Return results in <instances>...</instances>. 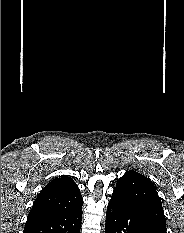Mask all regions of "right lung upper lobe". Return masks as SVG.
<instances>
[{
    "mask_svg": "<svg viewBox=\"0 0 184 233\" xmlns=\"http://www.w3.org/2000/svg\"><path fill=\"white\" fill-rule=\"evenodd\" d=\"M82 203L80 190L70 177L55 178L37 196L25 225L77 212Z\"/></svg>",
    "mask_w": 184,
    "mask_h": 233,
    "instance_id": "1",
    "label": "right lung upper lobe"
}]
</instances>
